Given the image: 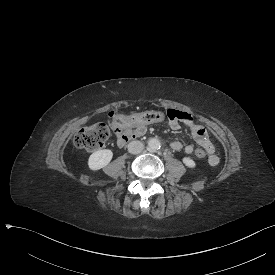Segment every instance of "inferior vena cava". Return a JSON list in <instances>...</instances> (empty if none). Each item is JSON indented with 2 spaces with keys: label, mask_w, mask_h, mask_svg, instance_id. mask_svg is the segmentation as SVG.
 I'll list each match as a JSON object with an SVG mask.
<instances>
[{
  "label": "inferior vena cava",
  "mask_w": 275,
  "mask_h": 275,
  "mask_svg": "<svg viewBox=\"0 0 275 275\" xmlns=\"http://www.w3.org/2000/svg\"><path fill=\"white\" fill-rule=\"evenodd\" d=\"M143 149H144V145L140 141H132L128 145V151L131 154H139L140 152L143 151Z\"/></svg>",
  "instance_id": "602c4592"
}]
</instances>
